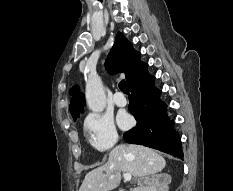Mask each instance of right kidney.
<instances>
[{"label": "right kidney", "mask_w": 233, "mask_h": 191, "mask_svg": "<svg viewBox=\"0 0 233 191\" xmlns=\"http://www.w3.org/2000/svg\"><path fill=\"white\" fill-rule=\"evenodd\" d=\"M171 176L166 173L153 175L144 191H168Z\"/></svg>", "instance_id": "ca27d5eb"}]
</instances>
